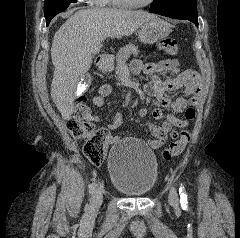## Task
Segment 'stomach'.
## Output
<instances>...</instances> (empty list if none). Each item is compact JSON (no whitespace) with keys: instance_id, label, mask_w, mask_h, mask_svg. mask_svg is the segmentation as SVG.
<instances>
[{"instance_id":"stomach-1","label":"stomach","mask_w":240,"mask_h":238,"mask_svg":"<svg viewBox=\"0 0 240 238\" xmlns=\"http://www.w3.org/2000/svg\"><path fill=\"white\" fill-rule=\"evenodd\" d=\"M171 25L161 19L145 23L139 30V40L144 44H153L167 37L171 31ZM103 69L111 70V64H103Z\"/></svg>"}]
</instances>
